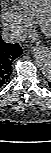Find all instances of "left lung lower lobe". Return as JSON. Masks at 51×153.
<instances>
[{
  "label": "left lung lower lobe",
  "instance_id": "obj_1",
  "mask_svg": "<svg viewBox=\"0 0 51 153\" xmlns=\"http://www.w3.org/2000/svg\"><path fill=\"white\" fill-rule=\"evenodd\" d=\"M49 86L51 87V82L49 83Z\"/></svg>",
  "mask_w": 51,
  "mask_h": 153
}]
</instances>
